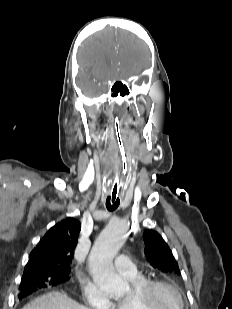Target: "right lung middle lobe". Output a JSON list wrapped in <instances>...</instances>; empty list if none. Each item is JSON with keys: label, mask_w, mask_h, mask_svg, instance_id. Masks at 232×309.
Segmentation results:
<instances>
[{"label": "right lung middle lobe", "mask_w": 232, "mask_h": 309, "mask_svg": "<svg viewBox=\"0 0 232 309\" xmlns=\"http://www.w3.org/2000/svg\"><path fill=\"white\" fill-rule=\"evenodd\" d=\"M69 274L58 273L54 271H37L29 274H23L20 290L24 286H34L36 289L47 287L48 285H57L67 281Z\"/></svg>", "instance_id": "obj_1"}]
</instances>
